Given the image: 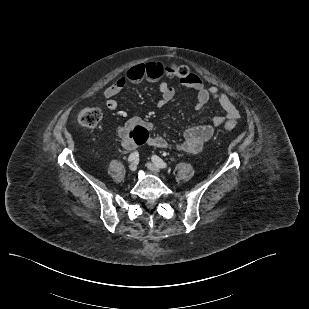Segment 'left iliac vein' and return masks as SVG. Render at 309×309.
Here are the masks:
<instances>
[{
  "mask_svg": "<svg viewBox=\"0 0 309 309\" xmlns=\"http://www.w3.org/2000/svg\"><path fill=\"white\" fill-rule=\"evenodd\" d=\"M147 167H148V169L151 171V172H153V173H159L160 172V169H159V167L157 166V165H155L154 163H147Z\"/></svg>",
  "mask_w": 309,
  "mask_h": 309,
  "instance_id": "left-iliac-vein-1",
  "label": "left iliac vein"
}]
</instances>
